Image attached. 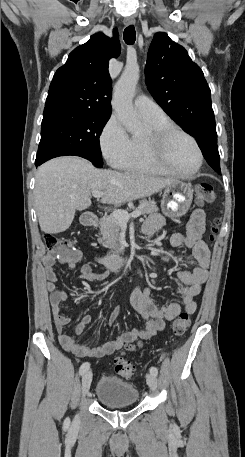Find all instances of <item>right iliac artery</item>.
Masks as SVG:
<instances>
[{
  "mask_svg": "<svg viewBox=\"0 0 245 457\" xmlns=\"http://www.w3.org/2000/svg\"><path fill=\"white\" fill-rule=\"evenodd\" d=\"M89 368H90L89 362H84V363L80 366V369H79L80 375L84 374ZM67 423H69V421H68Z\"/></svg>",
  "mask_w": 245,
  "mask_h": 457,
  "instance_id": "1",
  "label": "right iliac artery"
}]
</instances>
